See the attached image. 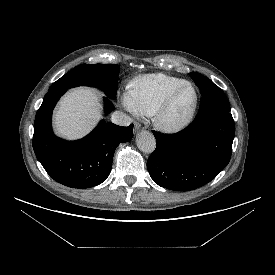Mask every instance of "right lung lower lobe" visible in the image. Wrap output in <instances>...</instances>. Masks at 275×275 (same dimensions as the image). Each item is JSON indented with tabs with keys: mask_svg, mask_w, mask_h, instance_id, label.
Returning <instances> with one entry per match:
<instances>
[{
	"mask_svg": "<svg viewBox=\"0 0 275 275\" xmlns=\"http://www.w3.org/2000/svg\"><path fill=\"white\" fill-rule=\"evenodd\" d=\"M67 90L48 92L34 122L33 149L46 172L58 183L72 188H90L105 181L112 168L116 147L133 137V125L122 127L101 121L86 137L65 141L51 128L52 111ZM114 108L105 98L106 113Z\"/></svg>",
	"mask_w": 275,
	"mask_h": 275,
	"instance_id": "98d812e1",
	"label": "right lung lower lobe"
}]
</instances>
